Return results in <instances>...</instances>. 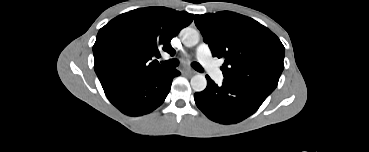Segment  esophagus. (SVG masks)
Masks as SVG:
<instances>
[{
    "instance_id": "esophagus-1",
    "label": "esophagus",
    "mask_w": 369,
    "mask_h": 152,
    "mask_svg": "<svg viewBox=\"0 0 369 152\" xmlns=\"http://www.w3.org/2000/svg\"><path fill=\"white\" fill-rule=\"evenodd\" d=\"M183 74L187 75V76H192L196 74V71L191 70V69H185L183 70Z\"/></svg>"
}]
</instances>
